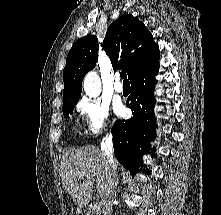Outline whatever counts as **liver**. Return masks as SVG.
<instances>
[{
	"label": "liver",
	"instance_id": "1",
	"mask_svg": "<svg viewBox=\"0 0 221 215\" xmlns=\"http://www.w3.org/2000/svg\"><path fill=\"white\" fill-rule=\"evenodd\" d=\"M60 176L64 190L71 195L80 212L89 203L95 182L97 192L103 198L109 178V165L98 147L72 148L62 156Z\"/></svg>",
	"mask_w": 221,
	"mask_h": 215
}]
</instances>
